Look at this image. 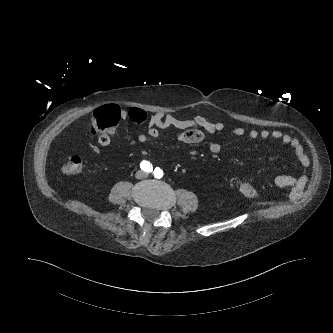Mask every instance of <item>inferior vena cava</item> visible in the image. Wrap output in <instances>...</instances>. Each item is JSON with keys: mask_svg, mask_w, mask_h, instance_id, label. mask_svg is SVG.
<instances>
[{"mask_svg": "<svg viewBox=\"0 0 333 333\" xmlns=\"http://www.w3.org/2000/svg\"><path fill=\"white\" fill-rule=\"evenodd\" d=\"M143 177H145V174H144V173H142V175H140L139 173L136 174V178H143Z\"/></svg>", "mask_w": 333, "mask_h": 333, "instance_id": "inferior-vena-cava-1", "label": "inferior vena cava"}]
</instances>
